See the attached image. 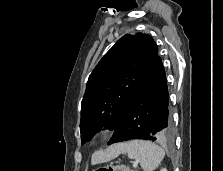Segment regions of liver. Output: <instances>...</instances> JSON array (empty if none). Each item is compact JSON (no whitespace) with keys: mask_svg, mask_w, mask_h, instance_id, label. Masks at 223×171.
I'll use <instances>...</instances> for the list:
<instances>
[{"mask_svg":"<svg viewBox=\"0 0 223 171\" xmlns=\"http://www.w3.org/2000/svg\"><path fill=\"white\" fill-rule=\"evenodd\" d=\"M126 143L115 144L108 147L104 151H99L93 154L91 163L92 165L110 161L119 156L120 153L125 152Z\"/></svg>","mask_w":223,"mask_h":171,"instance_id":"obj_1","label":"liver"}]
</instances>
